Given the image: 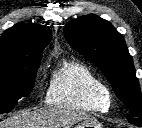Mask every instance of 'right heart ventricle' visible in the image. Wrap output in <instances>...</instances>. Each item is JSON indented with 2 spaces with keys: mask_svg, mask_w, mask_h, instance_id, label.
<instances>
[{
  "mask_svg": "<svg viewBox=\"0 0 142 128\" xmlns=\"http://www.w3.org/2000/svg\"><path fill=\"white\" fill-rule=\"evenodd\" d=\"M46 101L50 105L76 110L107 112L109 88L98 74L80 61H64L53 71Z\"/></svg>",
  "mask_w": 142,
  "mask_h": 128,
  "instance_id": "1",
  "label": "right heart ventricle"
}]
</instances>
